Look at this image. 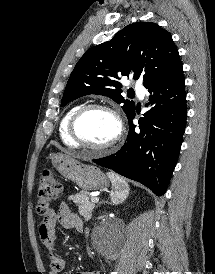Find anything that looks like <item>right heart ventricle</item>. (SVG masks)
I'll return each instance as SVG.
<instances>
[{
	"instance_id": "obj_1",
	"label": "right heart ventricle",
	"mask_w": 215,
	"mask_h": 274,
	"mask_svg": "<svg viewBox=\"0 0 215 274\" xmlns=\"http://www.w3.org/2000/svg\"><path fill=\"white\" fill-rule=\"evenodd\" d=\"M81 105H74L72 106L62 117L60 124H59V135L61 141L69 147L77 148L79 145L71 138L69 134V122L71 120V117L76 112L77 109H79Z\"/></svg>"
}]
</instances>
